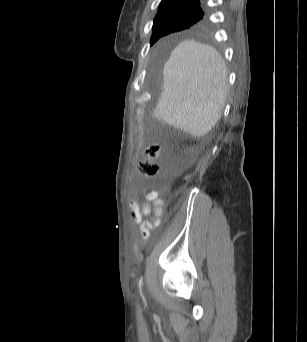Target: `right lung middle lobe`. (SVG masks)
<instances>
[{"label": "right lung middle lobe", "instance_id": "dd1d6c3e", "mask_svg": "<svg viewBox=\"0 0 307 342\" xmlns=\"http://www.w3.org/2000/svg\"><path fill=\"white\" fill-rule=\"evenodd\" d=\"M204 10H173L156 16L153 25L151 45L160 37L188 28L204 14Z\"/></svg>", "mask_w": 307, "mask_h": 342}]
</instances>
